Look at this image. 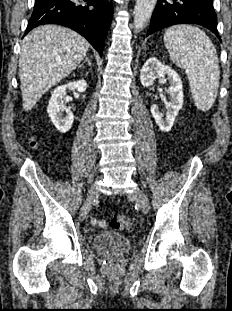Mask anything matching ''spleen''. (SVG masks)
<instances>
[{
    "instance_id": "1",
    "label": "spleen",
    "mask_w": 232,
    "mask_h": 311,
    "mask_svg": "<svg viewBox=\"0 0 232 311\" xmlns=\"http://www.w3.org/2000/svg\"><path fill=\"white\" fill-rule=\"evenodd\" d=\"M171 60L184 69L194 103L209 110L217 96L220 69L216 49L204 31L192 25H174L164 34Z\"/></svg>"
}]
</instances>
